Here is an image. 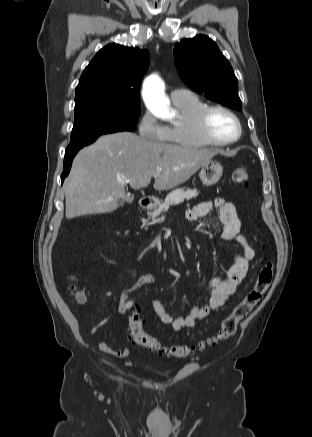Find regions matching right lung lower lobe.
Wrapping results in <instances>:
<instances>
[{
	"label": "right lung lower lobe",
	"mask_w": 312,
	"mask_h": 437,
	"mask_svg": "<svg viewBox=\"0 0 312 437\" xmlns=\"http://www.w3.org/2000/svg\"><path fill=\"white\" fill-rule=\"evenodd\" d=\"M78 151L66 154L65 158H64V170L63 173L61 175V182L63 183L64 178L69 174V171L71 169V165H72V160L75 157V155L77 154Z\"/></svg>",
	"instance_id": "right-lung-lower-lobe-1"
}]
</instances>
